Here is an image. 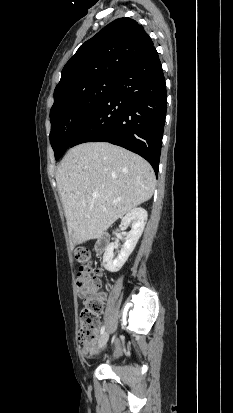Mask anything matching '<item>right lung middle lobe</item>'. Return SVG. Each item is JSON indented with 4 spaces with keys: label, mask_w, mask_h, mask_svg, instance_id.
<instances>
[{
    "label": "right lung middle lobe",
    "mask_w": 233,
    "mask_h": 413,
    "mask_svg": "<svg viewBox=\"0 0 233 413\" xmlns=\"http://www.w3.org/2000/svg\"><path fill=\"white\" fill-rule=\"evenodd\" d=\"M115 78L95 80L57 100L50 111V142L58 160L109 95Z\"/></svg>",
    "instance_id": "right-lung-middle-lobe-1"
}]
</instances>
